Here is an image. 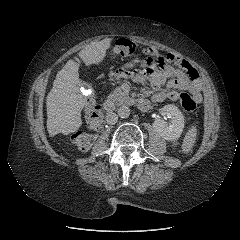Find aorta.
Wrapping results in <instances>:
<instances>
[{"mask_svg":"<svg viewBox=\"0 0 240 240\" xmlns=\"http://www.w3.org/2000/svg\"><path fill=\"white\" fill-rule=\"evenodd\" d=\"M130 115V108L127 106H121L118 109V116L120 118H128Z\"/></svg>","mask_w":240,"mask_h":240,"instance_id":"aorta-1","label":"aorta"}]
</instances>
